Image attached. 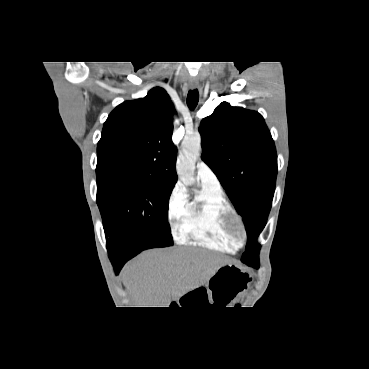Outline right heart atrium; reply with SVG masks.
<instances>
[{"instance_id": "right-heart-atrium-1", "label": "right heart atrium", "mask_w": 369, "mask_h": 369, "mask_svg": "<svg viewBox=\"0 0 369 369\" xmlns=\"http://www.w3.org/2000/svg\"><path fill=\"white\" fill-rule=\"evenodd\" d=\"M188 204L186 190L181 184L175 185L172 189L167 206L168 221L172 226L179 224Z\"/></svg>"}]
</instances>
